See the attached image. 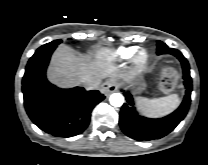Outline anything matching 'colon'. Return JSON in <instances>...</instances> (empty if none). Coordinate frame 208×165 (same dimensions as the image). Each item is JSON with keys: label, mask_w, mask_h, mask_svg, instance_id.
<instances>
[{"label": "colon", "mask_w": 208, "mask_h": 165, "mask_svg": "<svg viewBox=\"0 0 208 165\" xmlns=\"http://www.w3.org/2000/svg\"><path fill=\"white\" fill-rule=\"evenodd\" d=\"M177 79V72L173 68L164 69L160 78V88L165 92L173 90L176 86Z\"/></svg>", "instance_id": "1"}]
</instances>
